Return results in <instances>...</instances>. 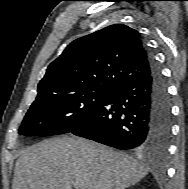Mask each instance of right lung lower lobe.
Here are the masks:
<instances>
[{
  "instance_id": "obj_1",
  "label": "right lung lower lobe",
  "mask_w": 188,
  "mask_h": 189,
  "mask_svg": "<svg viewBox=\"0 0 188 189\" xmlns=\"http://www.w3.org/2000/svg\"><path fill=\"white\" fill-rule=\"evenodd\" d=\"M149 72L113 89L70 133L118 148L165 153L172 114L165 80L148 52Z\"/></svg>"
}]
</instances>
